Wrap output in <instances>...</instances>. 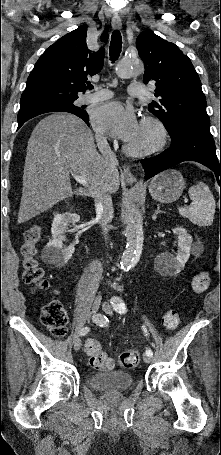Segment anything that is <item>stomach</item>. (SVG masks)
Wrapping results in <instances>:
<instances>
[{"label": "stomach", "mask_w": 221, "mask_h": 455, "mask_svg": "<svg viewBox=\"0 0 221 455\" xmlns=\"http://www.w3.org/2000/svg\"><path fill=\"white\" fill-rule=\"evenodd\" d=\"M184 187L185 181L181 173L175 169H169L151 180L149 193L158 202L172 203L179 199Z\"/></svg>", "instance_id": "obj_1"}]
</instances>
